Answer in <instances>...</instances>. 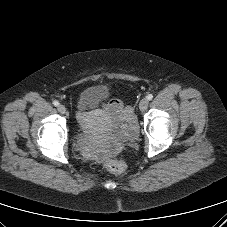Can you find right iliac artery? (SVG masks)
<instances>
[{"label": "right iliac artery", "instance_id": "right-iliac-artery-1", "mask_svg": "<svg viewBox=\"0 0 227 227\" xmlns=\"http://www.w3.org/2000/svg\"><path fill=\"white\" fill-rule=\"evenodd\" d=\"M53 105L54 106H58L59 105V102L55 100V101H53Z\"/></svg>", "mask_w": 227, "mask_h": 227}]
</instances>
